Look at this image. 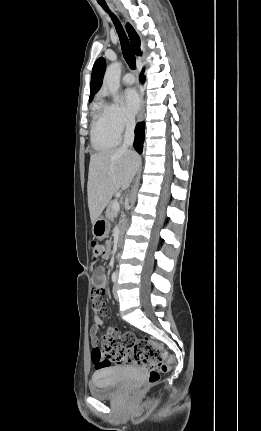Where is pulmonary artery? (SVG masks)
Listing matches in <instances>:
<instances>
[{"label": "pulmonary artery", "instance_id": "pulmonary-artery-1", "mask_svg": "<svg viewBox=\"0 0 261 431\" xmlns=\"http://www.w3.org/2000/svg\"><path fill=\"white\" fill-rule=\"evenodd\" d=\"M122 80L124 84L132 85L135 82V77L131 73H126Z\"/></svg>", "mask_w": 261, "mask_h": 431}]
</instances>
